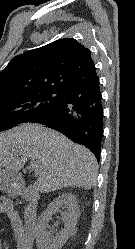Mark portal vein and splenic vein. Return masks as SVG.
I'll use <instances>...</instances> for the list:
<instances>
[{
  "label": "portal vein and splenic vein",
  "mask_w": 135,
  "mask_h": 249,
  "mask_svg": "<svg viewBox=\"0 0 135 249\" xmlns=\"http://www.w3.org/2000/svg\"><path fill=\"white\" fill-rule=\"evenodd\" d=\"M38 163L37 162H35V161H33V162H31V165H30V167H31V170H34L35 172L37 171V169H38Z\"/></svg>",
  "instance_id": "1"
}]
</instances>
